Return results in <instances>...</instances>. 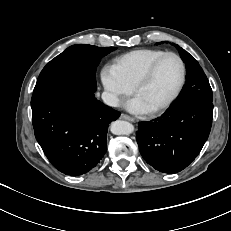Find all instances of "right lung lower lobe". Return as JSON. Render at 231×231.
Wrapping results in <instances>:
<instances>
[{"mask_svg":"<svg viewBox=\"0 0 231 231\" xmlns=\"http://www.w3.org/2000/svg\"><path fill=\"white\" fill-rule=\"evenodd\" d=\"M36 140L52 165L77 176L90 171L107 150L109 123L120 113L98 101L94 91L65 86L31 99Z\"/></svg>","mask_w":231,"mask_h":231,"instance_id":"obj_1","label":"right lung lower lobe"}]
</instances>
